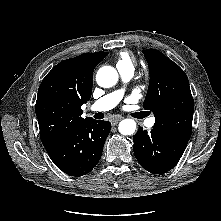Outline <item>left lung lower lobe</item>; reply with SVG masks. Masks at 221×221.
I'll return each instance as SVG.
<instances>
[{"mask_svg":"<svg viewBox=\"0 0 221 221\" xmlns=\"http://www.w3.org/2000/svg\"><path fill=\"white\" fill-rule=\"evenodd\" d=\"M134 154L140 165L153 174L171 170L179 161L188 141L170 137L157 129L139 127L133 137Z\"/></svg>","mask_w":221,"mask_h":221,"instance_id":"1","label":"left lung lower lobe"}]
</instances>
